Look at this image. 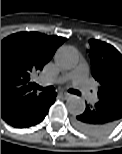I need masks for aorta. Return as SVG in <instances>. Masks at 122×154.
<instances>
[{
	"mask_svg": "<svg viewBox=\"0 0 122 154\" xmlns=\"http://www.w3.org/2000/svg\"><path fill=\"white\" fill-rule=\"evenodd\" d=\"M56 64L65 70H70L76 67L79 62V54L74 47L63 46L58 49L55 56ZM66 107L70 114L79 115L85 111V101L76 96L71 95L66 101Z\"/></svg>",
	"mask_w": 122,
	"mask_h": 154,
	"instance_id": "1",
	"label": "aorta"
}]
</instances>
